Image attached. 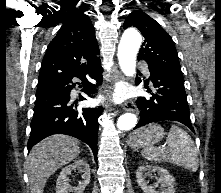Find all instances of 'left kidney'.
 Segmentation results:
<instances>
[{
  "label": "left kidney",
  "instance_id": "5707ae66",
  "mask_svg": "<svg viewBox=\"0 0 221 193\" xmlns=\"http://www.w3.org/2000/svg\"><path fill=\"white\" fill-rule=\"evenodd\" d=\"M152 173H157L159 176L157 183L153 186L148 185V183L145 181L146 177L151 176ZM136 179L138 185L144 191V193H175V179L166 169L160 166H140L136 172ZM159 184L161 185V190L156 191L155 189L159 186Z\"/></svg>",
  "mask_w": 221,
  "mask_h": 193
}]
</instances>
